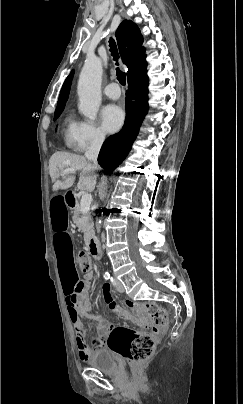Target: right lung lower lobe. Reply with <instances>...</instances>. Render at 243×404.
<instances>
[{"instance_id":"obj_1","label":"right lung lower lobe","mask_w":243,"mask_h":404,"mask_svg":"<svg viewBox=\"0 0 243 404\" xmlns=\"http://www.w3.org/2000/svg\"><path fill=\"white\" fill-rule=\"evenodd\" d=\"M147 94L148 76L145 70L128 80L125 124L119 133L104 142L100 150L98 162L106 171L113 172L129 153L148 111Z\"/></svg>"}]
</instances>
